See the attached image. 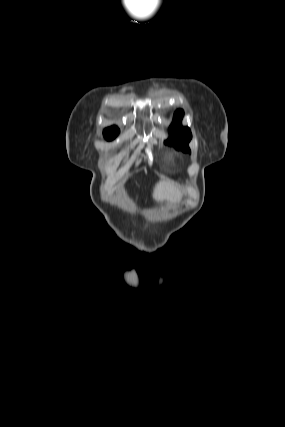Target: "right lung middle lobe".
I'll return each instance as SVG.
<instances>
[{"label":"right lung middle lobe","mask_w":285,"mask_h":427,"mask_svg":"<svg viewBox=\"0 0 285 427\" xmlns=\"http://www.w3.org/2000/svg\"><path fill=\"white\" fill-rule=\"evenodd\" d=\"M118 133L104 134L107 140H112L117 136Z\"/></svg>","instance_id":"right-lung-middle-lobe-1"}]
</instances>
